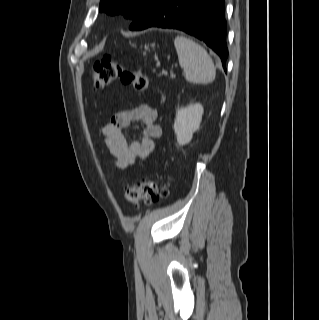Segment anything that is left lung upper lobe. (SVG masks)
I'll return each instance as SVG.
<instances>
[{
  "label": "left lung upper lobe",
  "mask_w": 319,
  "mask_h": 320,
  "mask_svg": "<svg viewBox=\"0 0 319 320\" xmlns=\"http://www.w3.org/2000/svg\"><path fill=\"white\" fill-rule=\"evenodd\" d=\"M158 0H101L99 11L107 14H123L133 22L150 10Z\"/></svg>",
  "instance_id": "left-lung-upper-lobe-1"
}]
</instances>
